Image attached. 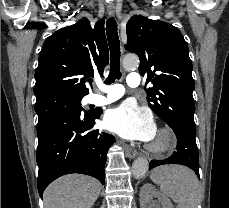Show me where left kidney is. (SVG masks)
I'll return each mask as SVG.
<instances>
[{"label": "left kidney", "mask_w": 229, "mask_h": 208, "mask_svg": "<svg viewBox=\"0 0 229 208\" xmlns=\"http://www.w3.org/2000/svg\"><path fill=\"white\" fill-rule=\"evenodd\" d=\"M153 198H158V202H160L162 208H173L170 200L164 194H160L152 184H144L140 190L141 208H154L156 204H154Z\"/></svg>", "instance_id": "obj_1"}]
</instances>
